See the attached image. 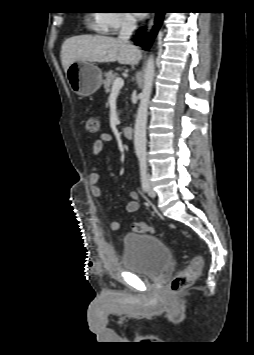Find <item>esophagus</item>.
<instances>
[{"label":"esophagus","instance_id":"34e87169","mask_svg":"<svg viewBox=\"0 0 254 355\" xmlns=\"http://www.w3.org/2000/svg\"><path fill=\"white\" fill-rule=\"evenodd\" d=\"M154 18H155V14H152L150 20H149V23H148V29L152 27L153 25V22H154Z\"/></svg>","mask_w":254,"mask_h":355}]
</instances>
